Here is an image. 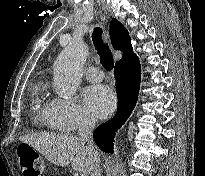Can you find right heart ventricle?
Returning <instances> with one entry per match:
<instances>
[{
  "label": "right heart ventricle",
  "mask_w": 205,
  "mask_h": 176,
  "mask_svg": "<svg viewBox=\"0 0 205 176\" xmlns=\"http://www.w3.org/2000/svg\"><path fill=\"white\" fill-rule=\"evenodd\" d=\"M50 102L45 99V93L40 91L33 101L34 112L38 117L45 120L52 129H56L57 125L50 114Z\"/></svg>",
  "instance_id": "obj_1"
}]
</instances>
